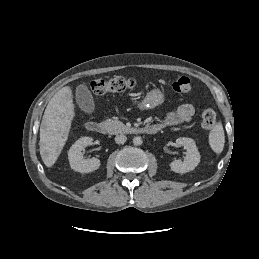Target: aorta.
Returning a JSON list of instances; mask_svg holds the SVG:
<instances>
[{"instance_id":"1","label":"aorta","mask_w":259,"mask_h":259,"mask_svg":"<svg viewBox=\"0 0 259 259\" xmlns=\"http://www.w3.org/2000/svg\"><path fill=\"white\" fill-rule=\"evenodd\" d=\"M133 143H134V145H136V146H140V145L143 143L142 138L139 137V136L134 137V138H133Z\"/></svg>"}]
</instances>
